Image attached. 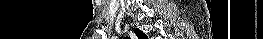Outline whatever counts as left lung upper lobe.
<instances>
[{
    "instance_id": "left-lung-upper-lobe-1",
    "label": "left lung upper lobe",
    "mask_w": 263,
    "mask_h": 39,
    "mask_svg": "<svg viewBox=\"0 0 263 39\" xmlns=\"http://www.w3.org/2000/svg\"><path fill=\"white\" fill-rule=\"evenodd\" d=\"M135 34L138 37V39H147V36L137 28L135 29Z\"/></svg>"
}]
</instances>
